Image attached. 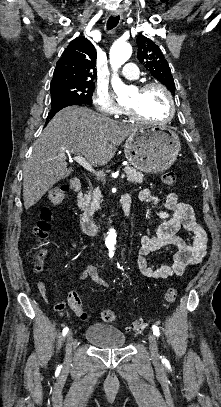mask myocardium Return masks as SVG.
I'll use <instances>...</instances> for the list:
<instances>
[{
    "label": "myocardium",
    "mask_w": 221,
    "mask_h": 407,
    "mask_svg": "<svg viewBox=\"0 0 221 407\" xmlns=\"http://www.w3.org/2000/svg\"><path fill=\"white\" fill-rule=\"evenodd\" d=\"M151 88H158L161 91L164 92V94L167 97L168 100V105H169V112L168 115L165 119L163 120H159V121H153V120H148L145 119L144 117H142L135 108H131V107H125V111L126 113L135 121L142 123V124H148V125H165L168 124L174 117L175 115V102H174V98L173 95L171 93V91L163 84L159 83V82H148L145 84H142L139 88L138 91L140 93H145L147 92L149 89Z\"/></svg>",
    "instance_id": "f54148a6"
}]
</instances>
